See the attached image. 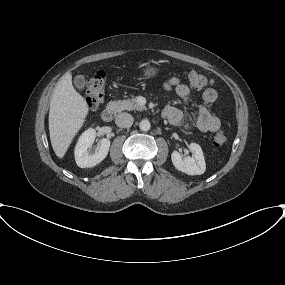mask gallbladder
Listing matches in <instances>:
<instances>
[{"label":"gallbladder","instance_id":"obj_1","mask_svg":"<svg viewBox=\"0 0 285 285\" xmlns=\"http://www.w3.org/2000/svg\"><path fill=\"white\" fill-rule=\"evenodd\" d=\"M86 84V79L83 75H76L74 78V85L78 90H83Z\"/></svg>","mask_w":285,"mask_h":285}]
</instances>
